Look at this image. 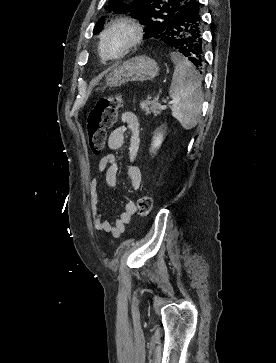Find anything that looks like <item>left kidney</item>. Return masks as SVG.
<instances>
[{"label": "left kidney", "instance_id": "left-kidney-1", "mask_svg": "<svg viewBox=\"0 0 276 363\" xmlns=\"http://www.w3.org/2000/svg\"><path fill=\"white\" fill-rule=\"evenodd\" d=\"M164 140V135L161 131H156L153 136L150 152L154 153L161 146Z\"/></svg>", "mask_w": 276, "mask_h": 363}]
</instances>
